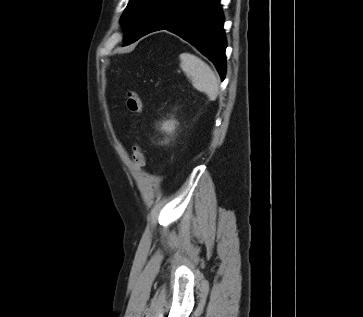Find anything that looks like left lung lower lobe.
I'll use <instances>...</instances> for the list:
<instances>
[{
  "mask_svg": "<svg viewBox=\"0 0 363 317\" xmlns=\"http://www.w3.org/2000/svg\"><path fill=\"white\" fill-rule=\"evenodd\" d=\"M223 19L220 0H158L151 19L139 38L158 30L171 31L209 58L223 80L227 46Z\"/></svg>",
  "mask_w": 363,
  "mask_h": 317,
  "instance_id": "1",
  "label": "left lung lower lobe"
}]
</instances>
